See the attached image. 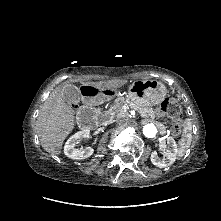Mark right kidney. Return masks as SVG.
I'll use <instances>...</instances> for the list:
<instances>
[{
  "label": "right kidney",
  "mask_w": 221,
  "mask_h": 221,
  "mask_svg": "<svg viewBox=\"0 0 221 221\" xmlns=\"http://www.w3.org/2000/svg\"><path fill=\"white\" fill-rule=\"evenodd\" d=\"M90 137L89 130H83L72 135L64 146V154L74 160H81L90 157L93 154V149L87 148H75L83 139Z\"/></svg>",
  "instance_id": "right-kidney-1"
}]
</instances>
